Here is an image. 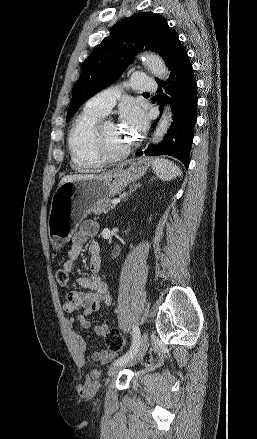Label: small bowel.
<instances>
[{
    "label": "small bowel",
    "instance_id": "obj_1",
    "mask_svg": "<svg viewBox=\"0 0 257 439\" xmlns=\"http://www.w3.org/2000/svg\"><path fill=\"white\" fill-rule=\"evenodd\" d=\"M98 232V224L88 220L83 222L79 230L72 236L71 246L68 250V259L63 264V269L71 273L74 270L75 262L79 257L84 243ZM89 266L92 275L90 277L80 276L77 279L78 284L86 291H71L67 294L63 304L66 312L75 314L70 318V325L78 322L82 328H89L91 323L86 316L100 312L106 306L111 304L112 298L108 286L100 276L101 256L100 247L97 241L92 240L88 245ZM108 331L105 323L95 325L94 332L97 336L103 337ZM70 337L75 343L78 356L81 362L85 363L86 342L76 331H70ZM94 362L107 364L113 358L114 354L107 350H97L91 355Z\"/></svg>",
    "mask_w": 257,
    "mask_h": 439
}]
</instances>
